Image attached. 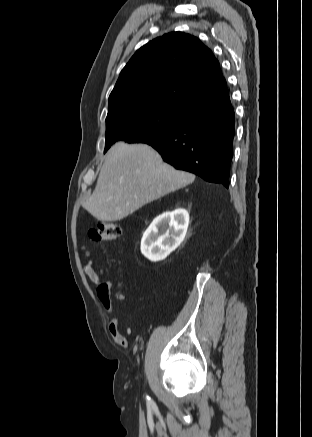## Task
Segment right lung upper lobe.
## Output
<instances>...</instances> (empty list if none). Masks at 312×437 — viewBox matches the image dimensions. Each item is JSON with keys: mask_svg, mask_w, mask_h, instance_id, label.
Masks as SVG:
<instances>
[{"mask_svg": "<svg viewBox=\"0 0 312 437\" xmlns=\"http://www.w3.org/2000/svg\"><path fill=\"white\" fill-rule=\"evenodd\" d=\"M226 91L219 62L210 49L194 36L172 32L148 42L130 59L109 96L108 113L143 102L193 111Z\"/></svg>", "mask_w": 312, "mask_h": 437, "instance_id": "obj_1", "label": "right lung upper lobe"}]
</instances>
